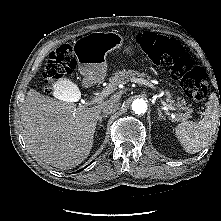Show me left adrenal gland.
I'll use <instances>...</instances> for the list:
<instances>
[{"label": "left adrenal gland", "mask_w": 221, "mask_h": 221, "mask_svg": "<svg viewBox=\"0 0 221 221\" xmlns=\"http://www.w3.org/2000/svg\"><path fill=\"white\" fill-rule=\"evenodd\" d=\"M158 116H159L158 117L159 120H165V117L162 115L160 108H158Z\"/></svg>", "instance_id": "a2214340"}]
</instances>
